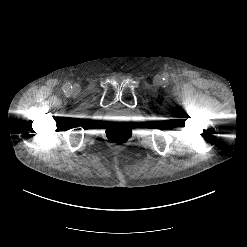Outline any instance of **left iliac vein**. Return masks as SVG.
<instances>
[{"instance_id":"1","label":"left iliac vein","mask_w":247,"mask_h":247,"mask_svg":"<svg viewBox=\"0 0 247 247\" xmlns=\"http://www.w3.org/2000/svg\"><path fill=\"white\" fill-rule=\"evenodd\" d=\"M161 82H162V79H161V77L160 76H156L155 78H154V84L155 85H160L161 84Z\"/></svg>"}]
</instances>
